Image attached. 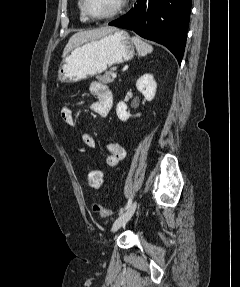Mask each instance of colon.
Here are the masks:
<instances>
[{
  "mask_svg": "<svg viewBox=\"0 0 240 287\" xmlns=\"http://www.w3.org/2000/svg\"><path fill=\"white\" fill-rule=\"evenodd\" d=\"M86 179L88 186L93 189H99L104 181L103 173L98 168H89L86 173ZM92 211L102 218L113 217V212L103 207L100 203H93Z\"/></svg>",
  "mask_w": 240,
  "mask_h": 287,
  "instance_id": "1",
  "label": "colon"
}]
</instances>
